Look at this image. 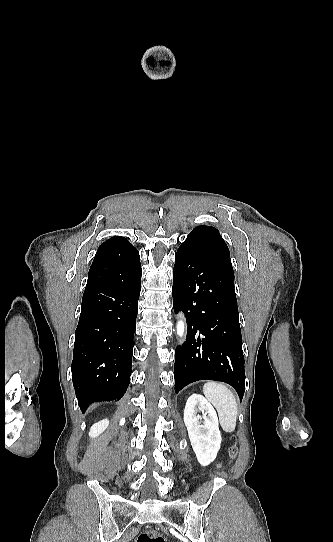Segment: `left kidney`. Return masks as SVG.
I'll list each match as a JSON object with an SVG mask.
<instances>
[{
  "label": "left kidney",
  "instance_id": "5707ae66",
  "mask_svg": "<svg viewBox=\"0 0 333 542\" xmlns=\"http://www.w3.org/2000/svg\"><path fill=\"white\" fill-rule=\"evenodd\" d=\"M198 408L203 410V416H198ZM200 418H203V422H199ZM183 420L199 464L209 466L214 462L222 442L213 406L200 394H192L186 402Z\"/></svg>",
  "mask_w": 333,
  "mask_h": 542
}]
</instances>
